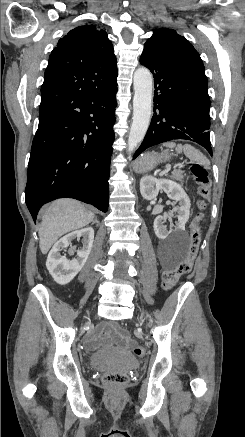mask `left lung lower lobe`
I'll return each mask as SVG.
<instances>
[{"label": "left lung lower lobe", "instance_id": "obj_1", "mask_svg": "<svg viewBox=\"0 0 245 437\" xmlns=\"http://www.w3.org/2000/svg\"><path fill=\"white\" fill-rule=\"evenodd\" d=\"M140 63L153 73L154 116L133 159L151 146L174 139L194 141L212 155L207 80L147 51Z\"/></svg>", "mask_w": 245, "mask_h": 437}]
</instances>
